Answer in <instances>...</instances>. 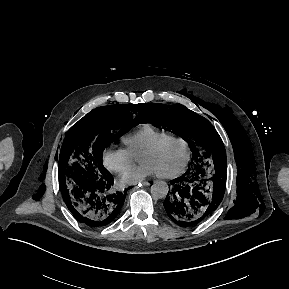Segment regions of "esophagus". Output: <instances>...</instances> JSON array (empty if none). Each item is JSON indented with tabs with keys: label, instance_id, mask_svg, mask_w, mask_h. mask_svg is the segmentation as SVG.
I'll list each match as a JSON object with an SVG mask.
<instances>
[{
	"label": "esophagus",
	"instance_id": "34e87169",
	"mask_svg": "<svg viewBox=\"0 0 289 289\" xmlns=\"http://www.w3.org/2000/svg\"><path fill=\"white\" fill-rule=\"evenodd\" d=\"M141 186H149L150 183L148 181H143L140 183Z\"/></svg>",
	"mask_w": 289,
	"mask_h": 289
}]
</instances>
